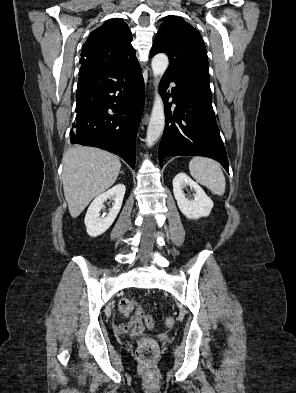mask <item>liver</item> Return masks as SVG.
Wrapping results in <instances>:
<instances>
[{
	"instance_id": "6515ba94",
	"label": "liver",
	"mask_w": 296,
	"mask_h": 393,
	"mask_svg": "<svg viewBox=\"0 0 296 393\" xmlns=\"http://www.w3.org/2000/svg\"><path fill=\"white\" fill-rule=\"evenodd\" d=\"M62 162L64 195L73 218L115 183L121 169L117 156L94 147H72Z\"/></svg>"
}]
</instances>
